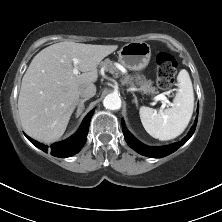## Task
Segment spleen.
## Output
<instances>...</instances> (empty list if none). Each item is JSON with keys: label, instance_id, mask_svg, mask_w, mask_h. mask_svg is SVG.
<instances>
[{"label": "spleen", "instance_id": "3e777b00", "mask_svg": "<svg viewBox=\"0 0 222 222\" xmlns=\"http://www.w3.org/2000/svg\"><path fill=\"white\" fill-rule=\"evenodd\" d=\"M179 91L173 106L157 112L150 107L139 109L140 119L145 130L161 141L171 140L181 135L188 126L194 108V93L190 76L181 70L177 76Z\"/></svg>", "mask_w": 222, "mask_h": 222}]
</instances>
